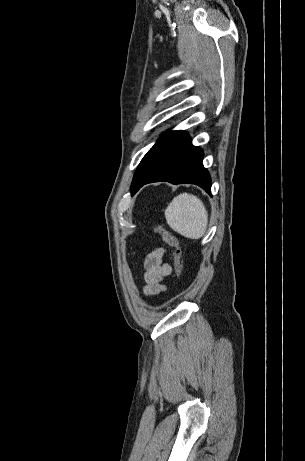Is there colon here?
Listing matches in <instances>:
<instances>
[{
  "instance_id": "5ec220e1",
  "label": "colon",
  "mask_w": 305,
  "mask_h": 461,
  "mask_svg": "<svg viewBox=\"0 0 305 461\" xmlns=\"http://www.w3.org/2000/svg\"><path fill=\"white\" fill-rule=\"evenodd\" d=\"M154 232L159 234L163 242L173 248L175 271L178 277L182 275L183 264H182V249L177 237L169 230L156 226Z\"/></svg>"
}]
</instances>
